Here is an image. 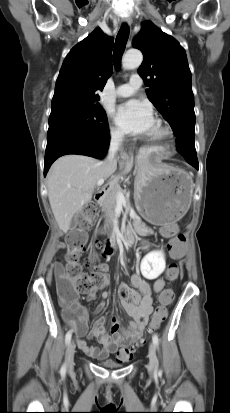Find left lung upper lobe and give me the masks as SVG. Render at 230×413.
<instances>
[{
	"mask_svg": "<svg viewBox=\"0 0 230 413\" xmlns=\"http://www.w3.org/2000/svg\"><path fill=\"white\" fill-rule=\"evenodd\" d=\"M132 46L143 53L138 74L148 87L149 100L173 127L178 151L196 153L194 95L184 48L150 21L143 22ZM179 138H186L188 144Z\"/></svg>",
	"mask_w": 230,
	"mask_h": 413,
	"instance_id": "1",
	"label": "left lung upper lobe"
}]
</instances>
